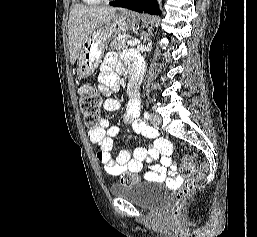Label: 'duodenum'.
I'll return each instance as SVG.
<instances>
[{
  "label": "duodenum",
  "mask_w": 257,
  "mask_h": 237,
  "mask_svg": "<svg viewBox=\"0 0 257 237\" xmlns=\"http://www.w3.org/2000/svg\"><path fill=\"white\" fill-rule=\"evenodd\" d=\"M141 74L138 70V68H134L131 72V78L128 84V92L131 97H134L135 95V87L138 84L140 80Z\"/></svg>",
  "instance_id": "obj_1"
}]
</instances>
